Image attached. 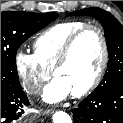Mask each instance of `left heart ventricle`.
Masks as SVG:
<instances>
[{
    "label": "left heart ventricle",
    "mask_w": 123,
    "mask_h": 123,
    "mask_svg": "<svg viewBox=\"0 0 123 123\" xmlns=\"http://www.w3.org/2000/svg\"><path fill=\"white\" fill-rule=\"evenodd\" d=\"M101 60V42L96 31L83 34L75 43L68 62L57 71L71 93L83 89L94 77Z\"/></svg>",
    "instance_id": "left-heart-ventricle-1"
}]
</instances>
